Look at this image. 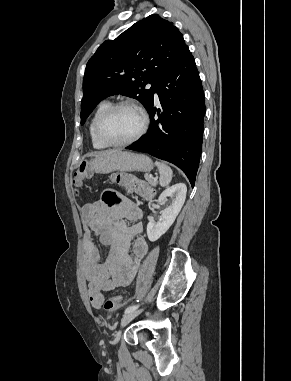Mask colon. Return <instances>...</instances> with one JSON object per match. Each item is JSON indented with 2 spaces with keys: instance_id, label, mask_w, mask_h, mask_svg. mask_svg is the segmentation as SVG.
Here are the masks:
<instances>
[{
  "instance_id": "colon-1",
  "label": "colon",
  "mask_w": 291,
  "mask_h": 381,
  "mask_svg": "<svg viewBox=\"0 0 291 381\" xmlns=\"http://www.w3.org/2000/svg\"><path fill=\"white\" fill-rule=\"evenodd\" d=\"M86 167L80 165L74 173V183L79 184L83 179ZM115 181L122 186L127 192L134 193L142 198H150L153 195L152 188L144 181L139 179L127 177L125 175H117ZM123 307L121 297L112 296L108 298L104 303V309L108 312L116 311Z\"/></svg>"
}]
</instances>
